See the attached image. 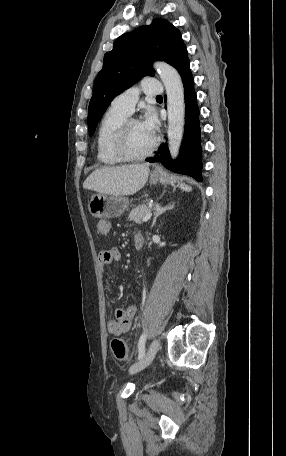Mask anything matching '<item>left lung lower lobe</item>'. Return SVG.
Listing matches in <instances>:
<instances>
[{"label":"left lung lower lobe","instance_id":"obj_1","mask_svg":"<svg viewBox=\"0 0 286 456\" xmlns=\"http://www.w3.org/2000/svg\"><path fill=\"white\" fill-rule=\"evenodd\" d=\"M182 77L185 97V135L181 145L180 157L176 162L170 159L167 144L159 148L160 155H156L149 162L160 160L167 168L174 172L192 176L197 181H202L201 176V133L199 126V109L194 91V79L190 71L189 61L185 62L178 70Z\"/></svg>","mask_w":286,"mask_h":456}]
</instances>
